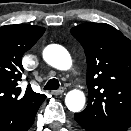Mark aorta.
Instances as JSON below:
<instances>
[{
    "instance_id": "obj_1",
    "label": "aorta",
    "mask_w": 131,
    "mask_h": 131,
    "mask_svg": "<svg viewBox=\"0 0 131 131\" xmlns=\"http://www.w3.org/2000/svg\"><path fill=\"white\" fill-rule=\"evenodd\" d=\"M44 60L54 68L68 70L72 60L68 51L59 45H49L43 51ZM65 104L72 112H79L85 105V95L80 90H71L65 97Z\"/></svg>"
}]
</instances>
